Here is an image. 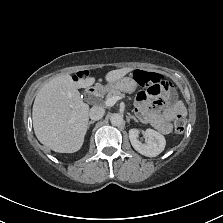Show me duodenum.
Instances as JSON below:
<instances>
[{
    "instance_id": "410a0bca",
    "label": "duodenum",
    "mask_w": 223,
    "mask_h": 223,
    "mask_svg": "<svg viewBox=\"0 0 223 223\" xmlns=\"http://www.w3.org/2000/svg\"><path fill=\"white\" fill-rule=\"evenodd\" d=\"M103 85H96L89 89V92L87 93V101L92 102L94 101V97L98 94H101L103 92Z\"/></svg>"
}]
</instances>
